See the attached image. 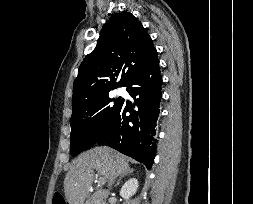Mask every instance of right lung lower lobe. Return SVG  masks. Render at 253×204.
Wrapping results in <instances>:
<instances>
[{
  "label": "right lung lower lobe",
  "mask_w": 253,
  "mask_h": 204,
  "mask_svg": "<svg viewBox=\"0 0 253 204\" xmlns=\"http://www.w3.org/2000/svg\"><path fill=\"white\" fill-rule=\"evenodd\" d=\"M162 77L156 49L124 86L134 104L120 102L111 122L96 143H106L150 169L156 152V121L159 116ZM129 112L130 115L126 116Z\"/></svg>",
  "instance_id": "obj_1"
}]
</instances>
